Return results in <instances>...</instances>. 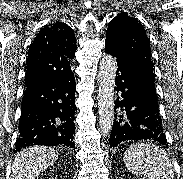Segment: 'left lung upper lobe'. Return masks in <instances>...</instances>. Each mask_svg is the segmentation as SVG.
<instances>
[{"label":"left lung upper lobe","instance_id":"5c2ea615","mask_svg":"<svg viewBox=\"0 0 183 179\" xmlns=\"http://www.w3.org/2000/svg\"><path fill=\"white\" fill-rule=\"evenodd\" d=\"M106 44L139 67L156 96L151 49L142 25L127 14H118L107 28Z\"/></svg>","mask_w":183,"mask_h":179}]
</instances>
